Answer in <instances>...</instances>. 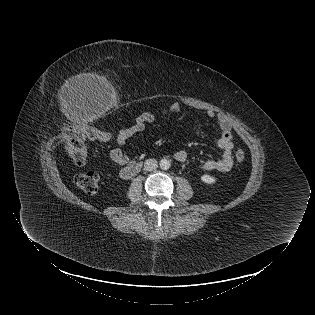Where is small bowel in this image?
<instances>
[{"label":"small bowel","mask_w":315,"mask_h":315,"mask_svg":"<svg viewBox=\"0 0 315 315\" xmlns=\"http://www.w3.org/2000/svg\"><path fill=\"white\" fill-rule=\"evenodd\" d=\"M182 110V106L179 103H173L168 108L162 111V114H177ZM206 118H215L219 125L220 135L216 139L217 146L223 151L222 157L217 160H206L202 167L205 171H219L227 172L231 170L234 164L233 160V134L232 124L228 116L224 113H216L212 110H207L204 113ZM156 121V116L151 112H144L136 117L134 122L121 130H119L115 136L116 143L118 145H124L128 139L134 135L142 132L147 125ZM109 159L120 166H125L129 162V157L120 149L114 148L108 152ZM174 158L179 162H184L187 159V153L184 150H178L174 154Z\"/></svg>","instance_id":"c3829d8e"}]
</instances>
